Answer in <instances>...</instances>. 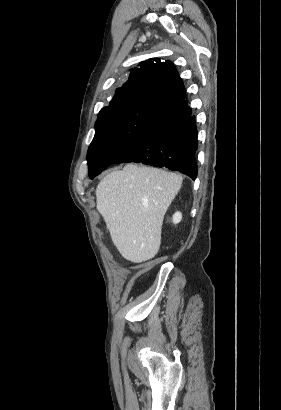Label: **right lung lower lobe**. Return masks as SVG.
Segmentation results:
<instances>
[{
	"mask_svg": "<svg viewBox=\"0 0 281 410\" xmlns=\"http://www.w3.org/2000/svg\"><path fill=\"white\" fill-rule=\"evenodd\" d=\"M197 128L187 100L169 107L113 164L136 162L197 177Z\"/></svg>",
	"mask_w": 281,
	"mask_h": 410,
	"instance_id": "1",
	"label": "right lung lower lobe"
}]
</instances>
